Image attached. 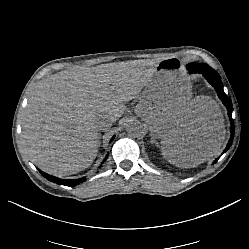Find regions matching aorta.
<instances>
[{
    "label": "aorta",
    "instance_id": "1",
    "mask_svg": "<svg viewBox=\"0 0 249 249\" xmlns=\"http://www.w3.org/2000/svg\"><path fill=\"white\" fill-rule=\"evenodd\" d=\"M126 130L129 136L139 137L144 133L143 125L136 120L129 121L126 125Z\"/></svg>",
    "mask_w": 249,
    "mask_h": 249
}]
</instances>
